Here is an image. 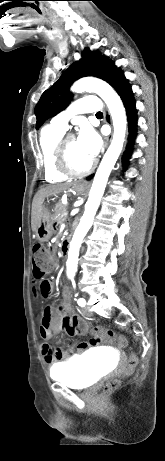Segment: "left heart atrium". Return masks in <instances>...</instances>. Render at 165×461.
Wrapping results in <instances>:
<instances>
[{"mask_svg":"<svg viewBox=\"0 0 165 461\" xmlns=\"http://www.w3.org/2000/svg\"><path fill=\"white\" fill-rule=\"evenodd\" d=\"M77 142L82 151L90 158L95 157L101 148L100 136L89 126L82 127Z\"/></svg>","mask_w":165,"mask_h":461,"instance_id":"left-heart-atrium-1","label":"left heart atrium"}]
</instances>
